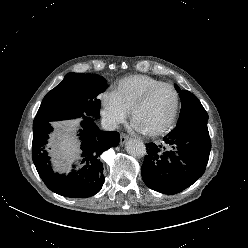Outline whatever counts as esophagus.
Instances as JSON below:
<instances>
[{"label": "esophagus", "instance_id": "34e87169", "mask_svg": "<svg viewBox=\"0 0 248 248\" xmlns=\"http://www.w3.org/2000/svg\"><path fill=\"white\" fill-rule=\"evenodd\" d=\"M128 140H129V136L128 135H126L124 133H122L120 135V144L121 145H124Z\"/></svg>", "mask_w": 248, "mask_h": 248}]
</instances>
